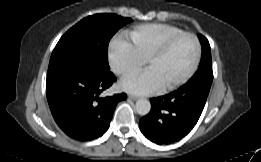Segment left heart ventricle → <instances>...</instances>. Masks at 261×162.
Segmentation results:
<instances>
[{"label":"left heart ventricle","mask_w":261,"mask_h":162,"mask_svg":"<svg viewBox=\"0 0 261 162\" xmlns=\"http://www.w3.org/2000/svg\"><path fill=\"white\" fill-rule=\"evenodd\" d=\"M196 54V46L191 37L176 41L162 56L147 65L161 81L163 87L183 77L191 68Z\"/></svg>","instance_id":"obj_1"}]
</instances>
